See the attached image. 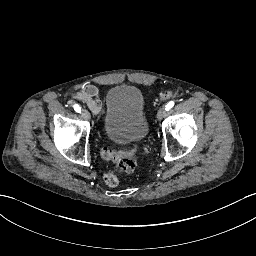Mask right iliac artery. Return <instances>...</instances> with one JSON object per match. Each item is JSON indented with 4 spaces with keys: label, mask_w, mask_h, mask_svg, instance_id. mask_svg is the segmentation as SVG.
Instances as JSON below:
<instances>
[{
    "label": "right iliac artery",
    "mask_w": 256,
    "mask_h": 256,
    "mask_svg": "<svg viewBox=\"0 0 256 256\" xmlns=\"http://www.w3.org/2000/svg\"><path fill=\"white\" fill-rule=\"evenodd\" d=\"M73 107H74V110H75L76 112H78V113L81 112V107H80L78 104H75Z\"/></svg>",
    "instance_id": "82829eb1"
}]
</instances>
